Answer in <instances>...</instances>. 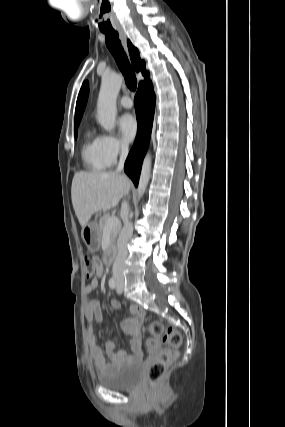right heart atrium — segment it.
<instances>
[{
    "label": "right heart atrium",
    "instance_id": "right-heart-atrium-1",
    "mask_svg": "<svg viewBox=\"0 0 285 427\" xmlns=\"http://www.w3.org/2000/svg\"><path fill=\"white\" fill-rule=\"evenodd\" d=\"M100 142L103 154L109 165L114 164L118 158L124 155L128 150L127 145L113 134H104L100 136Z\"/></svg>",
    "mask_w": 285,
    "mask_h": 427
}]
</instances>
